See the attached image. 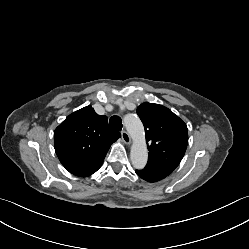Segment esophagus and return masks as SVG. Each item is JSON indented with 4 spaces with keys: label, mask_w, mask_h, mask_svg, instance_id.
I'll use <instances>...</instances> for the list:
<instances>
[{
    "label": "esophagus",
    "mask_w": 249,
    "mask_h": 249,
    "mask_svg": "<svg viewBox=\"0 0 249 249\" xmlns=\"http://www.w3.org/2000/svg\"><path fill=\"white\" fill-rule=\"evenodd\" d=\"M121 137H122V140L125 144H130L131 143V137L129 136L128 132L123 130L121 132Z\"/></svg>",
    "instance_id": "34e87169"
}]
</instances>
